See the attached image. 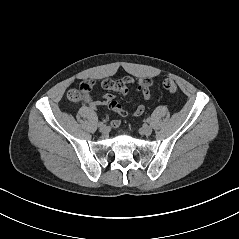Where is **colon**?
I'll list each match as a JSON object with an SVG mask.
<instances>
[{"label":"colon","mask_w":239,"mask_h":239,"mask_svg":"<svg viewBox=\"0 0 239 239\" xmlns=\"http://www.w3.org/2000/svg\"><path fill=\"white\" fill-rule=\"evenodd\" d=\"M163 88L172 94L176 93L178 89L177 84L171 79H166L163 81ZM92 89L93 87L91 82H86L85 84L81 85L80 89L70 90L67 94V99L72 103L86 101Z\"/></svg>","instance_id":"obj_1"}]
</instances>
